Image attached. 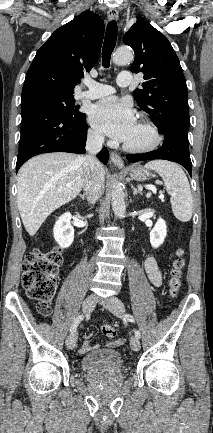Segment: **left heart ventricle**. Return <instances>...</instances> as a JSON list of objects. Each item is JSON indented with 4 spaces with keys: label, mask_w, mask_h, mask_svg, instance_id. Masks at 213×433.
<instances>
[{
    "label": "left heart ventricle",
    "mask_w": 213,
    "mask_h": 433,
    "mask_svg": "<svg viewBox=\"0 0 213 433\" xmlns=\"http://www.w3.org/2000/svg\"><path fill=\"white\" fill-rule=\"evenodd\" d=\"M150 140L151 135L149 131L138 122L124 143L130 146H143L150 142Z\"/></svg>",
    "instance_id": "b2bd125f"
}]
</instances>
